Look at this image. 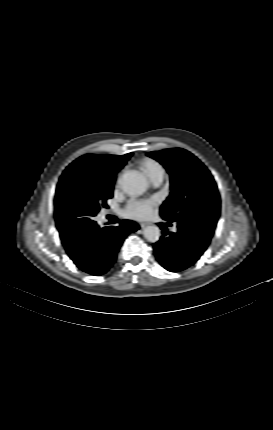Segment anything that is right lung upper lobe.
Returning a JSON list of instances; mask_svg holds the SVG:
<instances>
[{
  "instance_id": "cb5924a9",
  "label": "right lung upper lobe",
  "mask_w": 273,
  "mask_h": 430,
  "mask_svg": "<svg viewBox=\"0 0 273 430\" xmlns=\"http://www.w3.org/2000/svg\"><path fill=\"white\" fill-rule=\"evenodd\" d=\"M132 153L117 156L107 154H87L76 159L66 169L74 170L85 175L92 181L114 180L116 173L125 165ZM78 236L61 237L63 245L66 247L73 244Z\"/></svg>"
}]
</instances>
